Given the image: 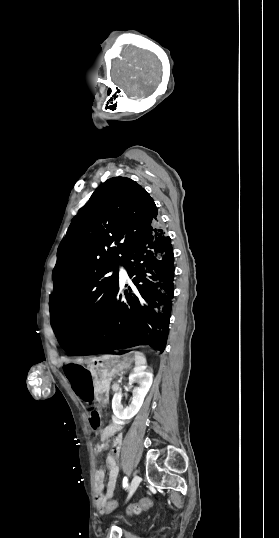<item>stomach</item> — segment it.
Wrapping results in <instances>:
<instances>
[{
  "label": "stomach",
  "instance_id": "obj_1",
  "mask_svg": "<svg viewBox=\"0 0 279 538\" xmlns=\"http://www.w3.org/2000/svg\"><path fill=\"white\" fill-rule=\"evenodd\" d=\"M100 365L97 368L98 386L96 399L100 408L105 409L109 405V383L115 378L120 370H127L133 362L132 353H100Z\"/></svg>",
  "mask_w": 279,
  "mask_h": 538
}]
</instances>
